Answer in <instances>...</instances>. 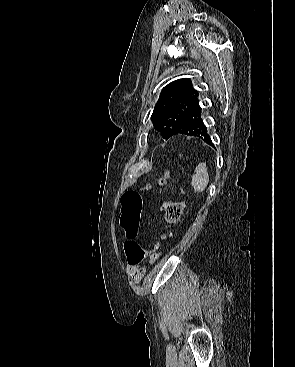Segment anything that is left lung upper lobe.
<instances>
[{
  "mask_svg": "<svg viewBox=\"0 0 295 367\" xmlns=\"http://www.w3.org/2000/svg\"><path fill=\"white\" fill-rule=\"evenodd\" d=\"M198 95L188 78L175 80L163 88L151 120L164 139L172 136L174 129L196 105Z\"/></svg>",
  "mask_w": 295,
  "mask_h": 367,
  "instance_id": "left-lung-upper-lobe-1",
  "label": "left lung upper lobe"
}]
</instances>
